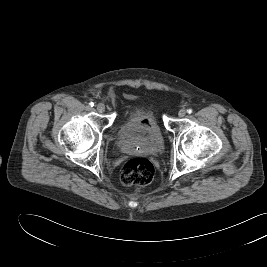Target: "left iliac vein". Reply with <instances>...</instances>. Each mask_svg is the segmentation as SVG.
Here are the masks:
<instances>
[{"label":"left iliac vein","instance_id":"obj_1","mask_svg":"<svg viewBox=\"0 0 267 267\" xmlns=\"http://www.w3.org/2000/svg\"><path fill=\"white\" fill-rule=\"evenodd\" d=\"M185 115H186V110L185 109L179 110V112H178V116L179 117H184Z\"/></svg>","mask_w":267,"mask_h":267}]
</instances>
